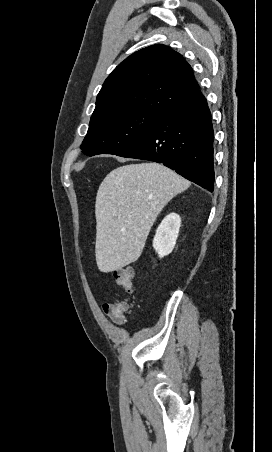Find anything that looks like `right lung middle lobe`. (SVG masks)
<instances>
[{"instance_id":"obj_1","label":"right lung middle lobe","mask_w":272,"mask_h":452,"mask_svg":"<svg viewBox=\"0 0 272 452\" xmlns=\"http://www.w3.org/2000/svg\"><path fill=\"white\" fill-rule=\"evenodd\" d=\"M161 112L135 109L92 119L81 145L85 155L119 154L138 140Z\"/></svg>"}]
</instances>
